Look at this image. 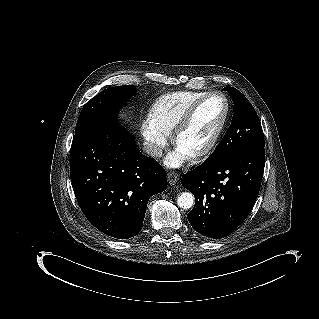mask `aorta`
Returning <instances> with one entry per match:
<instances>
[{
	"label": "aorta",
	"mask_w": 319,
	"mask_h": 319,
	"mask_svg": "<svg viewBox=\"0 0 319 319\" xmlns=\"http://www.w3.org/2000/svg\"><path fill=\"white\" fill-rule=\"evenodd\" d=\"M194 196L189 192H183L178 196L177 204L182 209H189L193 206Z\"/></svg>",
	"instance_id": "762f6f07"
}]
</instances>
